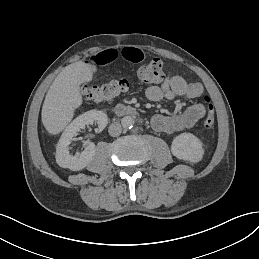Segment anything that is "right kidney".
I'll use <instances>...</instances> for the list:
<instances>
[{"label": "right kidney", "mask_w": 259, "mask_h": 259, "mask_svg": "<svg viewBox=\"0 0 259 259\" xmlns=\"http://www.w3.org/2000/svg\"><path fill=\"white\" fill-rule=\"evenodd\" d=\"M94 122L98 124V132L103 131L108 123L107 115L103 111L90 110L75 118L66 127L56 147V162L60 167L79 171L92 161L96 151L94 143H88L84 151L75 156L69 153V145L80 129H84L86 125Z\"/></svg>", "instance_id": "obj_1"}]
</instances>
